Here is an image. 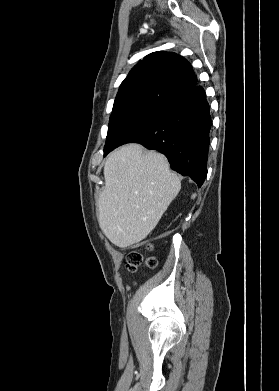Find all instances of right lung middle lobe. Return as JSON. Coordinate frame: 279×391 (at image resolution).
<instances>
[{
	"label": "right lung middle lobe",
	"mask_w": 279,
	"mask_h": 391,
	"mask_svg": "<svg viewBox=\"0 0 279 391\" xmlns=\"http://www.w3.org/2000/svg\"><path fill=\"white\" fill-rule=\"evenodd\" d=\"M162 107L159 105H136L112 111L104 156L146 128Z\"/></svg>",
	"instance_id": "obj_1"
}]
</instances>
